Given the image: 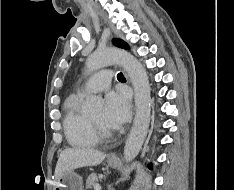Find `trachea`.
<instances>
[{
  "label": "trachea",
  "instance_id": "obj_1",
  "mask_svg": "<svg viewBox=\"0 0 234 190\" xmlns=\"http://www.w3.org/2000/svg\"><path fill=\"white\" fill-rule=\"evenodd\" d=\"M117 79H118V80H123V79H125L123 73H119V74L117 75Z\"/></svg>",
  "mask_w": 234,
  "mask_h": 190
}]
</instances>
